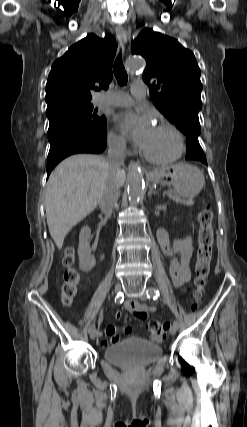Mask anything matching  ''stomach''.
<instances>
[{"label":"stomach","instance_id":"obj_1","mask_svg":"<svg viewBox=\"0 0 247 427\" xmlns=\"http://www.w3.org/2000/svg\"><path fill=\"white\" fill-rule=\"evenodd\" d=\"M150 181L153 184L172 185L175 193L184 200L195 198L205 184L203 173L197 167L183 162L154 173Z\"/></svg>","mask_w":247,"mask_h":427}]
</instances>
